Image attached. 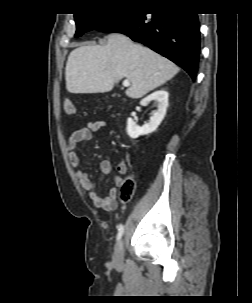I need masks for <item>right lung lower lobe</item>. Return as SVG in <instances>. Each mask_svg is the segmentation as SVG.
<instances>
[{"mask_svg": "<svg viewBox=\"0 0 252 303\" xmlns=\"http://www.w3.org/2000/svg\"><path fill=\"white\" fill-rule=\"evenodd\" d=\"M98 31L118 32L141 42L182 67L196 79L200 55L197 14L166 8L147 14L131 11Z\"/></svg>", "mask_w": 252, "mask_h": 303, "instance_id": "98d812e1", "label": "right lung lower lobe"}]
</instances>
